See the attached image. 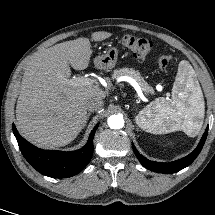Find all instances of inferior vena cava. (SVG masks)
Returning a JSON list of instances; mask_svg holds the SVG:
<instances>
[{"label": "inferior vena cava", "mask_w": 215, "mask_h": 215, "mask_svg": "<svg viewBox=\"0 0 215 215\" xmlns=\"http://www.w3.org/2000/svg\"><path fill=\"white\" fill-rule=\"evenodd\" d=\"M85 106L89 111H96L102 108L103 100L98 97H90L86 100Z\"/></svg>", "instance_id": "1"}]
</instances>
